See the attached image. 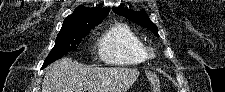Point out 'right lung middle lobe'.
<instances>
[{
  "mask_svg": "<svg viewBox=\"0 0 225 92\" xmlns=\"http://www.w3.org/2000/svg\"><path fill=\"white\" fill-rule=\"evenodd\" d=\"M101 22L102 20L73 29H61L57 35L53 49L44 61L42 69L47 67L52 62L62 58L69 51L76 50L82 38L90 32L91 28H94Z\"/></svg>",
  "mask_w": 225,
  "mask_h": 92,
  "instance_id": "obj_1",
  "label": "right lung middle lobe"
}]
</instances>
